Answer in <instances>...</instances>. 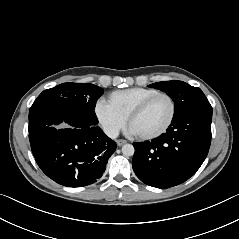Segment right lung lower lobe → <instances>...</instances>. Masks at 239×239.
I'll return each mask as SVG.
<instances>
[{
	"label": "right lung lower lobe",
	"mask_w": 239,
	"mask_h": 239,
	"mask_svg": "<svg viewBox=\"0 0 239 239\" xmlns=\"http://www.w3.org/2000/svg\"><path fill=\"white\" fill-rule=\"evenodd\" d=\"M54 120L29 133L33 155L41 170L58 184L81 187L93 184L106 169L116 143L96 124L66 121L72 126L55 129Z\"/></svg>",
	"instance_id": "1"
}]
</instances>
